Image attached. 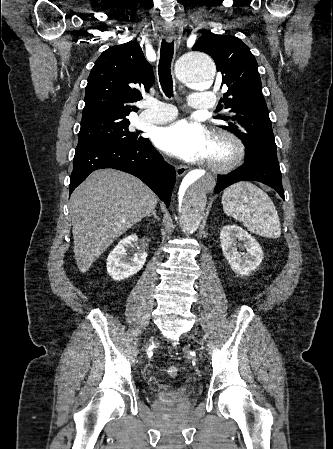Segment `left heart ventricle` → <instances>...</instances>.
<instances>
[{"label": "left heart ventricle", "mask_w": 333, "mask_h": 449, "mask_svg": "<svg viewBox=\"0 0 333 449\" xmlns=\"http://www.w3.org/2000/svg\"><path fill=\"white\" fill-rule=\"evenodd\" d=\"M222 156V152L220 149L216 148L212 143H211V148L208 154V158H218Z\"/></svg>", "instance_id": "1"}]
</instances>
